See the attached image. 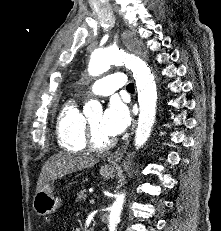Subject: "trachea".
<instances>
[{"instance_id": "obj_1", "label": "trachea", "mask_w": 221, "mask_h": 231, "mask_svg": "<svg viewBox=\"0 0 221 231\" xmlns=\"http://www.w3.org/2000/svg\"><path fill=\"white\" fill-rule=\"evenodd\" d=\"M127 90L128 91H133L134 90V84L133 83H130L127 85Z\"/></svg>"}]
</instances>
